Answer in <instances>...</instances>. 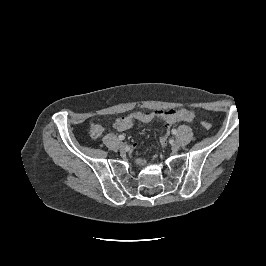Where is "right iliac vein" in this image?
I'll use <instances>...</instances> for the list:
<instances>
[{
	"label": "right iliac vein",
	"instance_id": "right-iliac-vein-1",
	"mask_svg": "<svg viewBox=\"0 0 266 266\" xmlns=\"http://www.w3.org/2000/svg\"><path fill=\"white\" fill-rule=\"evenodd\" d=\"M126 143H124V142H120L119 144H118V147H119V149L120 150H125L126 149Z\"/></svg>",
	"mask_w": 266,
	"mask_h": 266
}]
</instances>
